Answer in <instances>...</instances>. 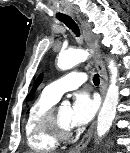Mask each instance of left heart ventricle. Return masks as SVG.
<instances>
[{
	"label": "left heart ventricle",
	"mask_w": 130,
	"mask_h": 153,
	"mask_svg": "<svg viewBox=\"0 0 130 153\" xmlns=\"http://www.w3.org/2000/svg\"><path fill=\"white\" fill-rule=\"evenodd\" d=\"M70 113L71 110L68 106H61L58 109L59 121L64 127H71L70 125Z\"/></svg>",
	"instance_id": "b2bd125f"
}]
</instances>
